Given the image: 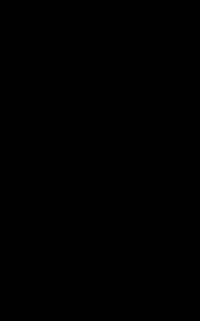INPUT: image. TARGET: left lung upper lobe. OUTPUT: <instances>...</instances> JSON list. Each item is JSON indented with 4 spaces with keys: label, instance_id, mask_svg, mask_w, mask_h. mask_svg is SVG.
Here are the masks:
<instances>
[{
    "label": "left lung upper lobe",
    "instance_id": "obj_1",
    "mask_svg": "<svg viewBox=\"0 0 200 321\" xmlns=\"http://www.w3.org/2000/svg\"><path fill=\"white\" fill-rule=\"evenodd\" d=\"M104 129L121 141L126 165L120 177L124 183L146 177H162L173 181V166L163 143L152 133L134 125L112 121Z\"/></svg>",
    "mask_w": 200,
    "mask_h": 321
}]
</instances>
